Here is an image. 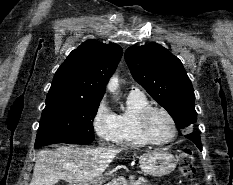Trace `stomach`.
<instances>
[{"label": "stomach", "mask_w": 233, "mask_h": 185, "mask_svg": "<svg viewBox=\"0 0 233 185\" xmlns=\"http://www.w3.org/2000/svg\"><path fill=\"white\" fill-rule=\"evenodd\" d=\"M141 170L152 176H164L171 173L177 164L175 157L164 150L145 153L139 157ZM73 185H97L96 180L78 182Z\"/></svg>", "instance_id": "stomach-1"}]
</instances>
